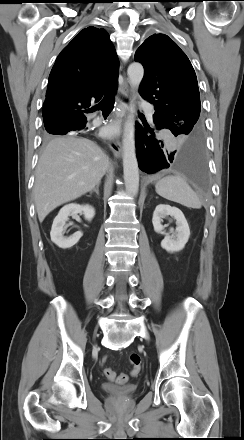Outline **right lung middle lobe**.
<instances>
[{
	"label": "right lung middle lobe",
	"instance_id": "1",
	"mask_svg": "<svg viewBox=\"0 0 244 440\" xmlns=\"http://www.w3.org/2000/svg\"><path fill=\"white\" fill-rule=\"evenodd\" d=\"M51 135H63V133L59 128L45 127V137H51Z\"/></svg>",
	"mask_w": 244,
	"mask_h": 440
}]
</instances>
